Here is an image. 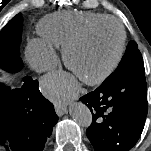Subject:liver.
Returning a JSON list of instances; mask_svg holds the SVG:
<instances>
[{"label":"liver","mask_w":151,"mask_h":151,"mask_svg":"<svg viewBox=\"0 0 151 151\" xmlns=\"http://www.w3.org/2000/svg\"><path fill=\"white\" fill-rule=\"evenodd\" d=\"M0 80H1V81H5V82H9V81H10V77H8L7 75H2V76L0 77Z\"/></svg>","instance_id":"6515ba94"}]
</instances>
